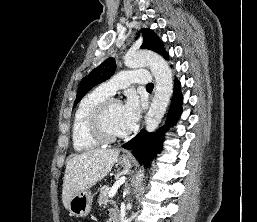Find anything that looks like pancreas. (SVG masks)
Masks as SVG:
<instances>
[{
    "instance_id": "obj_1",
    "label": "pancreas",
    "mask_w": 257,
    "mask_h": 222,
    "mask_svg": "<svg viewBox=\"0 0 257 222\" xmlns=\"http://www.w3.org/2000/svg\"><path fill=\"white\" fill-rule=\"evenodd\" d=\"M110 190H111V188L107 185L103 186L100 189V195L98 198L99 206H106L108 204V202H109L108 195H109Z\"/></svg>"
}]
</instances>
